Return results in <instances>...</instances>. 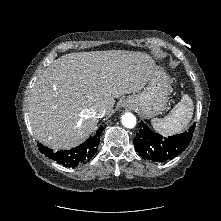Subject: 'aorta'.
Segmentation results:
<instances>
[{"label":"aorta","instance_id":"1","mask_svg":"<svg viewBox=\"0 0 221 221\" xmlns=\"http://www.w3.org/2000/svg\"><path fill=\"white\" fill-rule=\"evenodd\" d=\"M121 121L126 128H134L136 125V117L132 113L122 115Z\"/></svg>","mask_w":221,"mask_h":221}]
</instances>
